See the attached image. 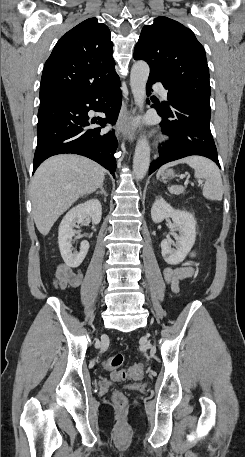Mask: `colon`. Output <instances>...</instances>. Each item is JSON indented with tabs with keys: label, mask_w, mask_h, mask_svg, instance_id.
<instances>
[{
	"label": "colon",
	"mask_w": 245,
	"mask_h": 457,
	"mask_svg": "<svg viewBox=\"0 0 245 457\" xmlns=\"http://www.w3.org/2000/svg\"><path fill=\"white\" fill-rule=\"evenodd\" d=\"M124 356L122 354H115L104 362V367L111 372V377L114 381L124 380H139L144 374V368L141 363H134L127 369H122L124 363ZM112 401L116 408L123 409L126 407L128 400L121 391H114Z\"/></svg>",
	"instance_id": "colon-1"
}]
</instances>
